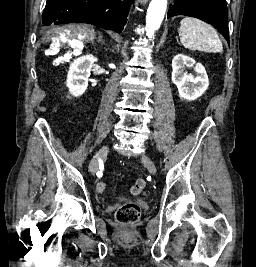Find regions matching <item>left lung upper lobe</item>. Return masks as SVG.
<instances>
[{"mask_svg": "<svg viewBox=\"0 0 256 267\" xmlns=\"http://www.w3.org/2000/svg\"><path fill=\"white\" fill-rule=\"evenodd\" d=\"M176 15L195 17L211 24L221 32L229 44L228 10L225 0H175V5L169 9L167 18Z\"/></svg>", "mask_w": 256, "mask_h": 267, "instance_id": "1", "label": "left lung upper lobe"}]
</instances>
